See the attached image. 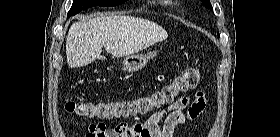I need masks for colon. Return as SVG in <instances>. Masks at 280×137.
<instances>
[{"label": "colon", "mask_w": 280, "mask_h": 137, "mask_svg": "<svg viewBox=\"0 0 280 137\" xmlns=\"http://www.w3.org/2000/svg\"><path fill=\"white\" fill-rule=\"evenodd\" d=\"M199 81V69L191 67L183 70L172 83L164 85L151 95L119 101H70L66 103L65 110L70 114L83 118L137 117L171 101L179 92L195 89ZM122 137H138V134L127 133Z\"/></svg>", "instance_id": "obj_1"}]
</instances>
